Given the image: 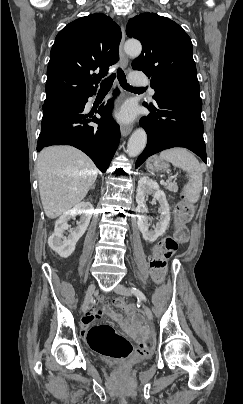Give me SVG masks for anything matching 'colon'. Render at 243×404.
I'll list each match as a JSON object with an SVG mask.
<instances>
[{
	"label": "colon",
	"mask_w": 243,
	"mask_h": 404,
	"mask_svg": "<svg viewBox=\"0 0 243 404\" xmlns=\"http://www.w3.org/2000/svg\"><path fill=\"white\" fill-rule=\"evenodd\" d=\"M191 214L192 206L188 202L182 201L175 211L173 236L162 239L154 248L150 269L152 278L157 284H162L166 279L168 258L178 250L181 242L187 240L186 224ZM113 304L129 314L133 313L132 307L122 299H116ZM87 341L94 351L109 358L125 359L132 352L131 343L109 324L91 327L87 332ZM152 347L153 341L147 340L141 343L139 351L142 355H148Z\"/></svg>",
	"instance_id": "1"
}]
</instances>
